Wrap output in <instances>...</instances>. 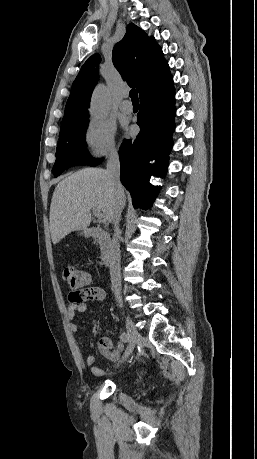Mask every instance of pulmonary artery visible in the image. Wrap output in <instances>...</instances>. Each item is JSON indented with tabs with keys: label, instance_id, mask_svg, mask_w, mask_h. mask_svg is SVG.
I'll list each match as a JSON object with an SVG mask.
<instances>
[{
	"label": "pulmonary artery",
	"instance_id": "1",
	"mask_svg": "<svg viewBox=\"0 0 257 459\" xmlns=\"http://www.w3.org/2000/svg\"><path fill=\"white\" fill-rule=\"evenodd\" d=\"M125 97H127V95H126ZM120 110H121L123 113L130 114V113H132V111H133V105H132V103H131L128 99H125V100H123L122 103L120 104Z\"/></svg>",
	"mask_w": 257,
	"mask_h": 459
}]
</instances>
